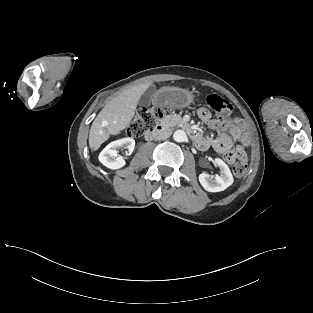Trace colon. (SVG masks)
I'll return each instance as SVG.
<instances>
[{
  "label": "colon",
  "instance_id": "5ec220e1",
  "mask_svg": "<svg viewBox=\"0 0 313 313\" xmlns=\"http://www.w3.org/2000/svg\"><path fill=\"white\" fill-rule=\"evenodd\" d=\"M207 104L222 117L228 116L232 110L230 102L216 94H211L207 97ZM163 115L164 111L161 108H140L128 125L126 134L131 137H140L153 131ZM224 158L232 163V170L235 176L240 177L245 174L247 170L246 159L235 158L231 153H227Z\"/></svg>",
  "mask_w": 313,
  "mask_h": 313
}]
</instances>
